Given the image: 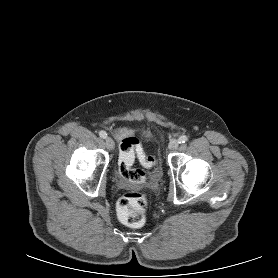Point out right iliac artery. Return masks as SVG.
Here are the masks:
<instances>
[{
	"label": "right iliac artery",
	"mask_w": 278,
	"mask_h": 278,
	"mask_svg": "<svg viewBox=\"0 0 278 278\" xmlns=\"http://www.w3.org/2000/svg\"><path fill=\"white\" fill-rule=\"evenodd\" d=\"M99 136H100L101 138H106V137H107V133H106L105 131H100V132H99Z\"/></svg>",
	"instance_id": "right-iliac-artery-1"
}]
</instances>
